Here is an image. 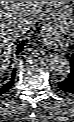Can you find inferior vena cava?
<instances>
[{
    "label": "inferior vena cava",
    "instance_id": "inferior-vena-cava-1",
    "mask_svg": "<svg viewBox=\"0 0 74 122\" xmlns=\"http://www.w3.org/2000/svg\"><path fill=\"white\" fill-rule=\"evenodd\" d=\"M25 25H26V26H27V25L29 26V22H28L27 24H25ZM25 25H24L23 27H20V31H21V32L25 31L24 29H27V28H25V27H26Z\"/></svg>",
    "mask_w": 74,
    "mask_h": 122
}]
</instances>
